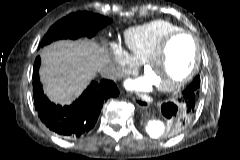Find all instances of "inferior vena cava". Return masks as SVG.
I'll list each match as a JSON object with an SVG mask.
<instances>
[{
    "label": "inferior vena cava",
    "instance_id": "602c4592",
    "mask_svg": "<svg viewBox=\"0 0 240 160\" xmlns=\"http://www.w3.org/2000/svg\"><path fill=\"white\" fill-rule=\"evenodd\" d=\"M99 72L102 77L108 79H115L120 75L119 69L111 64L100 67Z\"/></svg>",
    "mask_w": 240,
    "mask_h": 160
}]
</instances>
